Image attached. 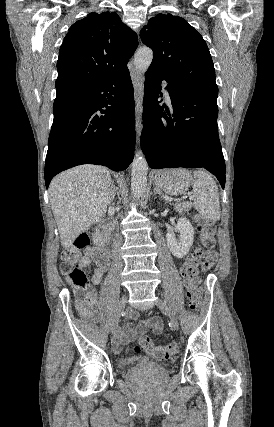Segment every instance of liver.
Listing matches in <instances>:
<instances>
[{"label":"liver","instance_id":"1","mask_svg":"<svg viewBox=\"0 0 274 427\" xmlns=\"http://www.w3.org/2000/svg\"><path fill=\"white\" fill-rule=\"evenodd\" d=\"M111 182L107 168L91 164L61 172L50 182L49 202L64 249L73 245L90 223L104 217L110 204Z\"/></svg>","mask_w":274,"mask_h":427}]
</instances>
